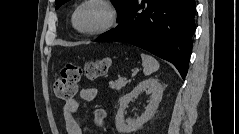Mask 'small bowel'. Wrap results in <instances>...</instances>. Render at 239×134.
Masks as SVG:
<instances>
[{
	"instance_id": "1",
	"label": "small bowel",
	"mask_w": 239,
	"mask_h": 134,
	"mask_svg": "<svg viewBox=\"0 0 239 134\" xmlns=\"http://www.w3.org/2000/svg\"><path fill=\"white\" fill-rule=\"evenodd\" d=\"M97 89L93 87L83 88L79 92V96L87 101H92L97 97ZM79 103L73 98L67 100L63 105V115L69 134H83V129L78 119Z\"/></svg>"
}]
</instances>
